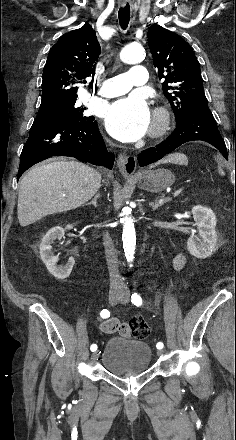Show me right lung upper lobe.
<instances>
[{"instance_id": "cb5924a9", "label": "right lung upper lobe", "mask_w": 236, "mask_h": 440, "mask_svg": "<svg viewBox=\"0 0 236 440\" xmlns=\"http://www.w3.org/2000/svg\"><path fill=\"white\" fill-rule=\"evenodd\" d=\"M100 44L89 24L63 34L50 49L43 70L41 105L71 101L77 98L80 84L94 71Z\"/></svg>"}]
</instances>
